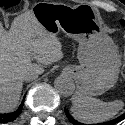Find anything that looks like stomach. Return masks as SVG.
<instances>
[{"mask_svg": "<svg viewBox=\"0 0 125 125\" xmlns=\"http://www.w3.org/2000/svg\"><path fill=\"white\" fill-rule=\"evenodd\" d=\"M32 11L37 22L48 33L57 35L63 31L79 43L80 65L64 69L75 79L78 91L93 97L105 93L116 84L121 67L118 48L103 32L91 9L39 3Z\"/></svg>", "mask_w": 125, "mask_h": 125, "instance_id": "stomach-1", "label": "stomach"}]
</instances>
